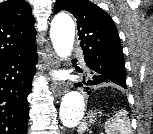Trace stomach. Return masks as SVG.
Instances as JSON below:
<instances>
[{
    "instance_id": "1",
    "label": "stomach",
    "mask_w": 153,
    "mask_h": 134,
    "mask_svg": "<svg viewBox=\"0 0 153 134\" xmlns=\"http://www.w3.org/2000/svg\"><path fill=\"white\" fill-rule=\"evenodd\" d=\"M90 116H91V121H93V118L95 117V113L94 112H91L90 113Z\"/></svg>"
}]
</instances>
